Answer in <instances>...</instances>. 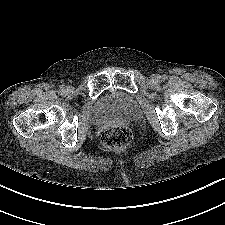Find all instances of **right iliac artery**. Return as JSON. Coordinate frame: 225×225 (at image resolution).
<instances>
[{
    "mask_svg": "<svg viewBox=\"0 0 225 225\" xmlns=\"http://www.w3.org/2000/svg\"><path fill=\"white\" fill-rule=\"evenodd\" d=\"M60 91H64V86H60Z\"/></svg>",
    "mask_w": 225,
    "mask_h": 225,
    "instance_id": "right-iliac-artery-1",
    "label": "right iliac artery"
}]
</instances>
